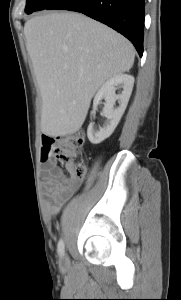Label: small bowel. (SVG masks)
Masks as SVG:
<instances>
[{
  "label": "small bowel",
  "instance_id": "obj_1",
  "mask_svg": "<svg viewBox=\"0 0 181 300\" xmlns=\"http://www.w3.org/2000/svg\"><path fill=\"white\" fill-rule=\"evenodd\" d=\"M42 188L49 198L46 210L50 215H56L63 204L78 190L81 179L66 176L63 170L53 160H49L41 178Z\"/></svg>",
  "mask_w": 181,
  "mask_h": 300
}]
</instances>
